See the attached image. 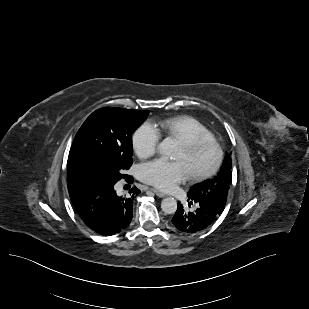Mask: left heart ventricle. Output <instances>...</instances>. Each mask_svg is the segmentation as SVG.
<instances>
[{
  "instance_id": "obj_1",
  "label": "left heart ventricle",
  "mask_w": 309,
  "mask_h": 309,
  "mask_svg": "<svg viewBox=\"0 0 309 309\" xmlns=\"http://www.w3.org/2000/svg\"><path fill=\"white\" fill-rule=\"evenodd\" d=\"M211 157L212 154L208 150H205L196 156L190 157L187 155L183 146L177 155V159L183 161L186 164L190 173L206 166L210 162Z\"/></svg>"
}]
</instances>
